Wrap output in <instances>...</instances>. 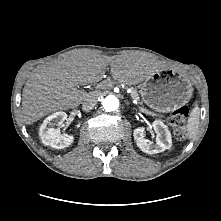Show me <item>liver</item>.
Instances as JSON below:
<instances>
[{
	"label": "liver",
	"instance_id": "6515ba94",
	"mask_svg": "<svg viewBox=\"0 0 221 221\" xmlns=\"http://www.w3.org/2000/svg\"><path fill=\"white\" fill-rule=\"evenodd\" d=\"M108 65L112 77L127 85L138 84L159 70L152 59L136 53L106 56L87 49L69 51L29 74L22 93L23 122L31 125L51 112L79 106L96 93L79 90L78 85L99 82Z\"/></svg>",
	"mask_w": 221,
	"mask_h": 221
}]
</instances>
